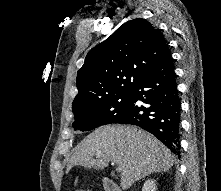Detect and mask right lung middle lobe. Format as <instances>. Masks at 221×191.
I'll use <instances>...</instances> for the list:
<instances>
[{
  "label": "right lung middle lobe",
  "instance_id": "dd1d6c3e",
  "mask_svg": "<svg viewBox=\"0 0 221 191\" xmlns=\"http://www.w3.org/2000/svg\"><path fill=\"white\" fill-rule=\"evenodd\" d=\"M133 92L121 93L74 113L75 130L89 131L101 125L117 123L129 110Z\"/></svg>",
  "mask_w": 221,
  "mask_h": 191
}]
</instances>
